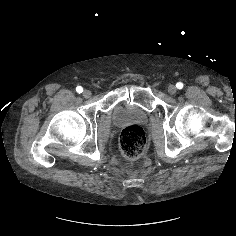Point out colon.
Segmentation results:
<instances>
[{"label": "colon", "mask_w": 236, "mask_h": 236, "mask_svg": "<svg viewBox=\"0 0 236 236\" xmlns=\"http://www.w3.org/2000/svg\"><path fill=\"white\" fill-rule=\"evenodd\" d=\"M120 149L125 158H139L146 149L147 140L144 130L138 125L126 127L119 139Z\"/></svg>", "instance_id": "5ec220e1"}]
</instances>
